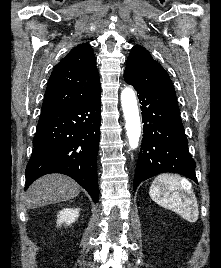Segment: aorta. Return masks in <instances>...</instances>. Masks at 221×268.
I'll use <instances>...</instances> for the list:
<instances>
[{
  "label": "aorta",
  "instance_id": "762f6f07",
  "mask_svg": "<svg viewBox=\"0 0 221 268\" xmlns=\"http://www.w3.org/2000/svg\"><path fill=\"white\" fill-rule=\"evenodd\" d=\"M121 105L126 122L125 127L129 146L132 149H136L141 136V123L136 94L132 88L126 87L122 90Z\"/></svg>",
  "mask_w": 221,
  "mask_h": 268
}]
</instances>
